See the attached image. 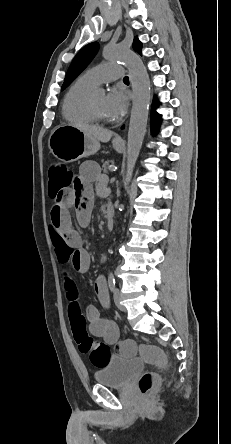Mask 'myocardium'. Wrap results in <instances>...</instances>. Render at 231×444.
Masks as SVG:
<instances>
[{"instance_id":"obj_1","label":"myocardium","mask_w":231,"mask_h":444,"mask_svg":"<svg viewBox=\"0 0 231 444\" xmlns=\"http://www.w3.org/2000/svg\"><path fill=\"white\" fill-rule=\"evenodd\" d=\"M88 110H89L90 115L94 119V121L99 122V123H109V122H111L110 119L105 118V117L101 116L98 113V111L95 108L94 102H93V95H90V97H89V100H88Z\"/></svg>"}]
</instances>
